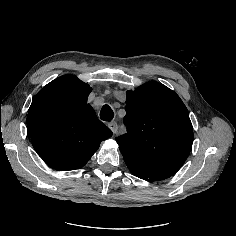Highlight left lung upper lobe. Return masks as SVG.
I'll list each match as a JSON object with an SVG mask.
<instances>
[{"instance_id":"obj_1","label":"left lung upper lobe","mask_w":236,"mask_h":236,"mask_svg":"<svg viewBox=\"0 0 236 236\" xmlns=\"http://www.w3.org/2000/svg\"><path fill=\"white\" fill-rule=\"evenodd\" d=\"M124 123L127 134L116 141L132 174L158 181L184 164L192 148L193 127L174 91L155 81L127 91Z\"/></svg>"}]
</instances>
